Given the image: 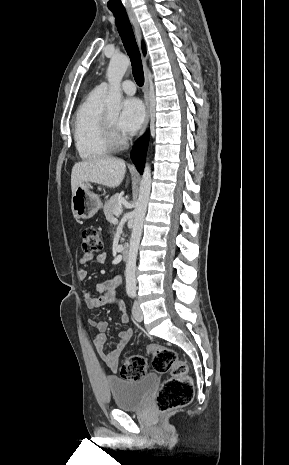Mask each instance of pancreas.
<instances>
[{
	"label": "pancreas",
	"mask_w": 289,
	"mask_h": 465,
	"mask_svg": "<svg viewBox=\"0 0 289 465\" xmlns=\"http://www.w3.org/2000/svg\"><path fill=\"white\" fill-rule=\"evenodd\" d=\"M121 197L120 194H115L104 204L103 211L109 222L113 220L115 210L121 207Z\"/></svg>",
	"instance_id": "pancreas-1"
}]
</instances>
